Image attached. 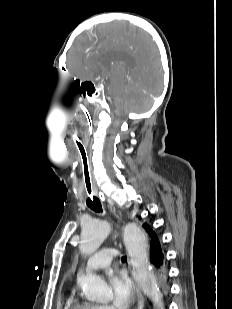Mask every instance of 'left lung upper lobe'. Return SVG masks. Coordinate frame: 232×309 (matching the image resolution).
I'll use <instances>...</instances> for the list:
<instances>
[{"instance_id": "1", "label": "left lung upper lobe", "mask_w": 232, "mask_h": 309, "mask_svg": "<svg viewBox=\"0 0 232 309\" xmlns=\"http://www.w3.org/2000/svg\"><path fill=\"white\" fill-rule=\"evenodd\" d=\"M143 227L146 229L147 232H148V231L150 230V228H151L147 223H145V224L143 225Z\"/></svg>"}]
</instances>
